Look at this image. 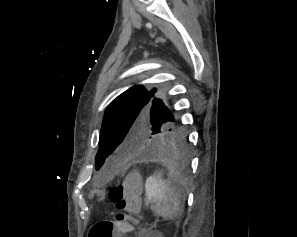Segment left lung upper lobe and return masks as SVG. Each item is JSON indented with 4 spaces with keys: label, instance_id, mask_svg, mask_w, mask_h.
<instances>
[{
    "label": "left lung upper lobe",
    "instance_id": "5c2ea615",
    "mask_svg": "<svg viewBox=\"0 0 297 237\" xmlns=\"http://www.w3.org/2000/svg\"><path fill=\"white\" fill-rule=\"evenodd\" d=\"M162 97L161 89L135 85L109 104L100 132L97 170L108 156L123 162L147 155L152 141L171 125L169 119L174 117Z\"/></svg>",
    "mask_w": 297,
    "mask_h": 237
}]
</instances>
